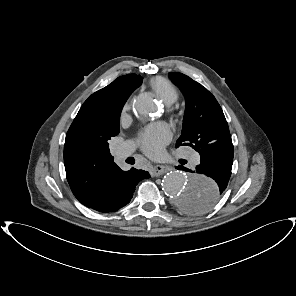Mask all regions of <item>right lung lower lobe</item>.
<instances>
[{
    "mask_svg": "<svg viewBox=\"0 0 296 296\" xmlns=\"http://www.w3.org/2000/svg\"><path fill=\"white\" fill-rule=\"evenodd\" d=\"M147 178H150L147 171L135 168L129 171L120 169L81 203L102 213L115 212L130 202L138 182Z\"/></svg>",
    "mask_w": 296,
    "mask_h": 296,
    "instance_id": "right-lung-lower-lobe-1",
    "label": "right lung lower lobe"
}]
</instances>
